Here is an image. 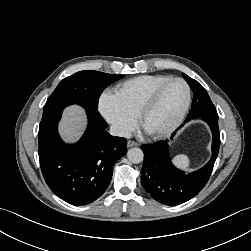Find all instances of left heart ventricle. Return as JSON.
<instances>
[{
    "mask_svg": "<svg viewBox=\"0 0 251 251\" xmlns=\"http://www.w3.org/2000/svg\"><path fill=\"white\" fill-rule=\"evenodd\" d=\"M186 97L187 91L181 82L169 84L145 117L144 129L148 132H157L168 127L181 112Z\"/></svg>",
    "mask_w": 251,
    "mask_h": 251,
    "instance_id": "1",
    "label": "left heart ventricle"
}]
</instances>
